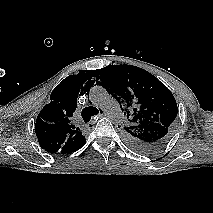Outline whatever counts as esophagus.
I'll use <instances>...</instances> for the list:
<instances>
[{"label": "esophagus", "mask_w": 213, "mask_h": 213, "mask_svg": "<svg viewBox=\"0 0 213 213\" xmlns=\"http://www.w3.org/2000/svg\"><path fill=\"white\" fill-rule=\"evenodd\" d=\"M102 111V110H101ZM103 116H105L104 112L102 111L101 113H99L94 120H92L89 124L88 127H91L92 125H94L96 123V121L98 120V118H102Z\"/></svg>", "instance_id": "esophagus-1"}]
</instances>
